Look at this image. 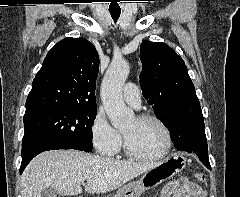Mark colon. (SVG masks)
Listing matches in <instances>:
<instances>
[{"label": "colon", "instance_id": "1", "mask_svg": "<svg viewBox=\"0 0 240 197\" xmlns=\"http://www.w3.org/2000/svg\"><path fill=\"white\" fill-rule=\"evenodd\" d=\"M195 178L199 181L204 183L206 181L205 175L202 173H196Z\"/></svg>", "mask_w": 240, "mask_h": 197}]
</instances>
